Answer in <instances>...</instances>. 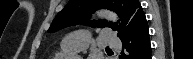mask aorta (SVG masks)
Returning <instances> with one entry per match:
<instances>
[{"label": "aorta", "instance_id": "aorta-1", "mask_svg": "<svg viewBox=\"0 0 193 59\" xmlns=\"http://www.w3.org/2000/svg\"><path fill=\"white\" fill-rule=\"evenodd\" d=\"M96 15L100 18H106L107 20H110V21H113V22H116L118 21V16L111 12V11H108V10H99ZM78 58V57H76Z\"/></svg>", "mask_w": 193, "mask_h": 59}]
</instances>
